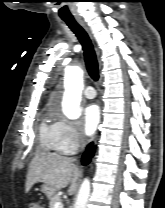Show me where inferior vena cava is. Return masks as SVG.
Listing matches in <instances>:
<instances>
[{
  "label": "inferior vena cava",
  "instance_id": "inferior-vena-cava-1",
  "mask_svg": "<svg viewBox=\"0 0 165 208\" xmlns=\"http://www.w3.org/2000/svg\"><path fill=\"white\" fill-rule=\"evenodd\" d=\"M81 148L83 149L86 145V140H85V137L82 135L81 136ZM73 161H76V158H72Z\"/></svg>",
  "mask_w": 165,
  "mask_h": 208
}]
</instances>
